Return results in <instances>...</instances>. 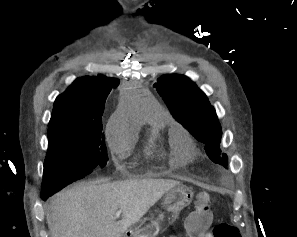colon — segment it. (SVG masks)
Listing matches in <instances>:
<instances>
[{
    "label": "colon",
    "instance_id": "5ec220e1",
    "mask_svg": "<svg viewBox=\"0 0 297 237\" xmlns=\"http://www.w3.org/2000/svg\"><path fill=\"white\" fill-rule=\"evenodd\" d=\"M212 198L207 192L196 196V208L188 218L186 227L190 237H204L212 221ZM214 237H241L239 230L228 224L219 223L213 230Z\"/></svg>",
    "mask_w": 297,
    "mask_h": 237
}]
</instances>
